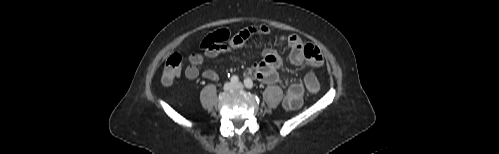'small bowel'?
<instances>
[{"instance_id":"c3829d8e","label":"small bowel","mask_w":499,"mask_h":154,"mask_svg":"<svg viewBox=\"0 0 499 154\" xmlns=\"http://www.w3.org/2000/svg\"><path fill=\"white\" fill-rule=\"evenodd\" d=\"M270 37L269 30L264 26L248 27L234 35H231L227 29L217 30L203 39L201 43L203 54L192 53L190 55V64L185 69V76L189 79H196L200 75L199 67L203 64L204 57L215 58L222 53L235 51L250 41L259 43ZM278 41L290 48L289 58L293 64H308L315 68L323 65L324 60L320 50L313 44L304 43L297 35L281 36ZM281 64L282 58L278 52L273 48H266L262 59L250 64L245 75L265 83H275L280 79ZM202 76L210 81L219 79L218 73L211 69L204 70ZM303 92L304 88L300 82L291 84L283 99L284 107L287 110L298 109L303 102Z\"/></svg>"}]
</instances>
